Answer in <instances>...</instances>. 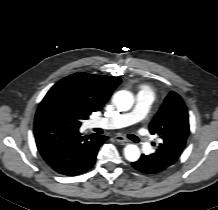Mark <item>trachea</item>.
I'll list each match as a JSON object with an SVG mask.
<instances>
[{"instance_id": "1", "label": "trachea", "mask_w": 218, "mask_h": 210, "mask_svg": "<svg viewBox=\"0 0 218 210\" xmlns=\"http://www.w3.org/2000/svg\"><path fill=\"white\" fill-rule=\"evenodd\" d=\"M132 141H134V142H138L139 141V139L136 137V136H134V135H129L128 136Z\"/></svg>"}]
</instances>
